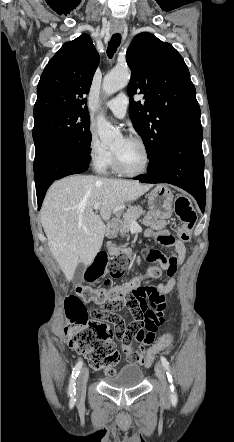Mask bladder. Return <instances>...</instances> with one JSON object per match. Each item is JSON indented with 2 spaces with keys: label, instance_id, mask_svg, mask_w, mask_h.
Instances as JSON below:
<instances>
[{
  "label": "bladder",
  "instance_id": "bladder-1",
  "mask_svg": "<svg viewBox=\"0 0 234 442\" xmlns=\"http://www.w3.org/2000/svg\"><path fill=\"white\" fill-rule=\"evenodd\" d=\"M144 378L143 370L135 364L125 365L116 375L105 377L104 382L113 388H133L141 384Z\"/></svg>",
  "mask_w": 234,
  "mask_h": 442
}]
</instances>
